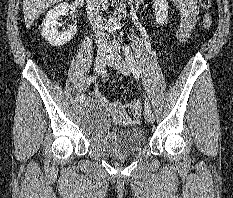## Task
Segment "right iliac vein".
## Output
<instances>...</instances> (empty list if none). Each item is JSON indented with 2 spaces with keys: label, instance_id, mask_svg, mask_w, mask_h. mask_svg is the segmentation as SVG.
<instances>
[{
  "label": "right iliac vein",
  "instance_id": "63e3f726",
  "mask_svg": "<svg viewBox=\"0 0 233 198\" xmlns=\"http://www.w3.org/2000/svg\"><path fill=\"white\" fill-rule=\"evenodd\" d=\"M108 58H109V55L105 51H100L97 53L95 63H94V72L96 74H99L102 72V70L104 69L108 61ZM88 104H89L88 100H86L85 102H82V104L79 106V110L85 109Z\"/></svg>",
  "mask_w": 233,
  "mask_h": 198
}]
</instances>
